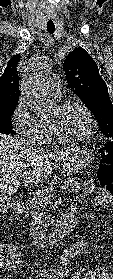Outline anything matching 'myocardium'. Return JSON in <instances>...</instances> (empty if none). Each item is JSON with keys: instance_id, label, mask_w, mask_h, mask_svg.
I'll list each match as a JSON object with an SVG mask.
<instances>
[{"instance_id": "1", "label": "myocardium", "mask_w": 113, "mask_h": 279, "mask_svg": "<svg viewBox=\"0 0 113 279\" xmlns=\"http://www.w3.org/2000/svg\"><path fill=\"white\" fill-rule=\"evenodd\" d=\"M69 105L78 106L85 114V117L87 120V127H86L85 131L81 135L75 136V137L63 136L57 131V129L54 127V125L51 122L46 120L48 129H49L50 133L52 134V136L61 143H77V142L84 141L91 135V133L93 131V128H94L93 115L90 112V110L88 109V107L82 101L75 99V98L64 99V100L58 102L55 105V107L58 109H63Z\"/></svg>"}]
</instances>
